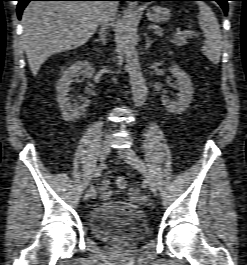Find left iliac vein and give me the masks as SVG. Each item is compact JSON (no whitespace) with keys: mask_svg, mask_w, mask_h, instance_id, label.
<instances>
[{"mask_svg":"<svg viewBox=\"0 0 247 265\" xmlns=\"http://www.w3.org/2000/svg\"><path fill=\"white\" fill-rule=\"evenodd\" d=\"M119 155L131 166H133L135 169L140 171L145 177L147 184L151 190V192L156 195L157 194V187L150 176V174L147 171V168L143 161L138 157V155L130 148H123L119 150Z\"/></svg>","mask_w":247,"mask_h":265,"instance_id":"obj_1","label":"left iliac vein"}]
</instances>
